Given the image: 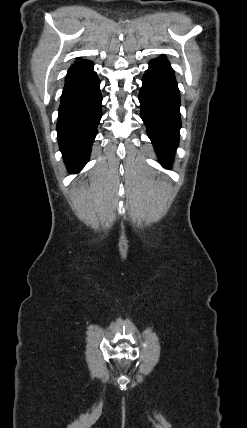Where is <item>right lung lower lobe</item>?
<instances>
[{
	"label": "right lung lower lobe",
	"instance_id": "right-lung-lower-lobe-1",
	"mask_svg": "<svg viewBox=\"0 0 247 428\" xmlns=\"http://www.w3.org/2000/svg\"><path fill=\"white\" fill-rule=\"evenodd\" d=\"M100 81L91 61L79 60L68 70L60 99L57 137L70 173L88 162L102 117Z\"/></svg>",
	"mask_w": 247,
	"mask_h": 428
}]
</instances>
